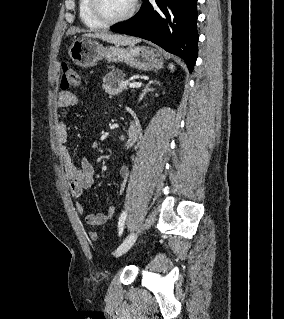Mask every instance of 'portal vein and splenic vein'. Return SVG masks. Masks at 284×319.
Listing matches in <instances>:
<instances>
[{
	"instance_id": "obj_1",
	"label": "portal vein and splenic vein",
	"mask_w": 284,
	"mask_h": 319,
	"mask_svg": "<svg viewBox=\"0 0 284 319\" xmlns=\"http://www.w3.org/2000/svg\"><path fill=\"white\" fill-rule=\"evenodd\" d=\"M142 86L141 82H133L129 84L130 88H140Z\"/></svg>"
}]
</instances>
